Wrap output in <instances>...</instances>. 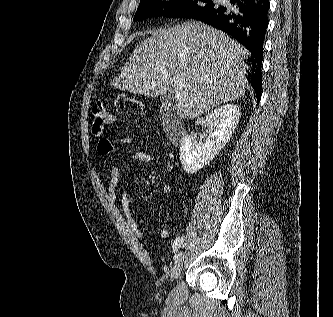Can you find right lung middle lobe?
<instances>
[{
	"label": "right lung middle lobe",
	"instance_id": "1",
	"mask_svg": "<svg viewBox=\"0 0 333 317\" xmlns=\"http://www.w3.org/2000/svg\"><path fill=\"white\" fill-rule=\"evenodd\" d=\"M214 6L209 0H141L134 20L152 16L193 18Z\"/></svg>",
	"mask_w": 333,
	"mask_h": 317
}]
</instances>
